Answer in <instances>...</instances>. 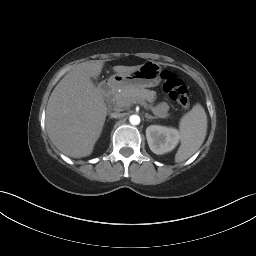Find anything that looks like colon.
<instances>
[{
    "label": "colon",
    "mask_w": 256,
    "mask_h": 256,
    "mask_svg": "<svg viewBox=\"0 0 256 256\" xmlns=\"http://www.w3.org/2000/svg\"><path fill=\"white\" fill-rule=\"evenodd\" d=\"M163 90L168 96L177 102L180 106L186 108L189 106L190 99L186 85L173 72L164 70L161 73Z\"/></svg>",
    "instance_id": "5ec220e1"
}]
</instances>
